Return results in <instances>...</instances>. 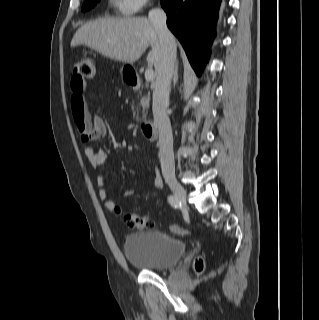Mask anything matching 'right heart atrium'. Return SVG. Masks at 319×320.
<instances>
[{"label": "right heart atrium", "instance_id": "obj_1", "mask_svg": "<svg viewBox=\"0 0 319 320\" xmlns=\"http://www.w3.org/2000/svg\"><path fill=\"white\" fill-rule=\"evenodd\" d=\"M112 5L121 13L132 15L143 8L148 0H111Z\"/></svg>", "mask_w": 319, "mask_h": 320}]
</instances>
